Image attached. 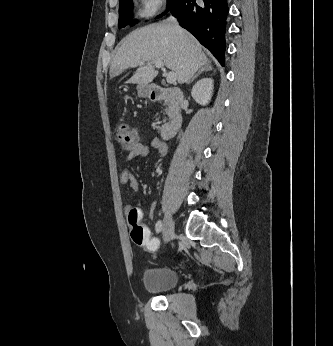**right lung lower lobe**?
<instances>
[{"instance_id":"right-lung-lower-lobe-1","label":"right lung lower lobe","mask_w":333,"mask_h":346,"mask_svg":"<svg viewBox=\"0 0 333 346\" xmlns=\"http://www.w3.org/2000/svg\"><path fill=\"white\" fill-rule=\"evenodd\" d=\"M169 10L224 66L227 0H175Z\"/></svg>"}]
</instances>
